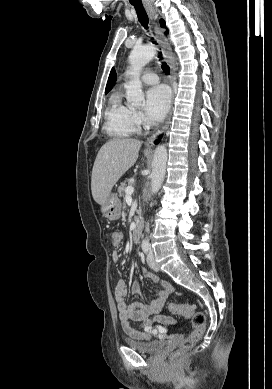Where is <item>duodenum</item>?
<instances>
[{
	"instance_id": "obj_1",
	"label": "duodenum",
	"mask_w": 272,
	"mask_h": 389,
	"mask_svg": "<svg viewBox=\"0 0 272 389\" xmlns=\"http://www.w3.org/2000/svg\"><path fill=\"white\" fill-rule=\"evenodd\" d=\"M142 233V223L137 220L134 227L132 228L131 235L134 242H139Z\"/></svg>"
}]
</instances>
